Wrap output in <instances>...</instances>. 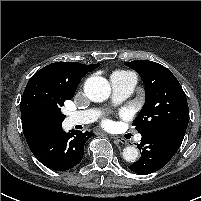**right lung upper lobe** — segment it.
I'll list each match as a JSON object with an SVG mask.
<instances>
[{
    "label": "right lung upper lobe",
    "instance_id": "cb5924a9",
    "mask_svg": "<svg viewBox=\"0 0 201 201\" xmlns=\"http://www.w3.org/2000/svg\"><path fill=\"white\" fill-rule=\"evenodd\" d=\"M100 64L84 65L77 62H56L43 67L37 75L46 76L75 92L80 80ZM22 128L27 144L44 134L62 128V124H41L22 116Z\"/></svg>",
    "mask_w": 201,
    "mask_h": 201
}]
</instances>
